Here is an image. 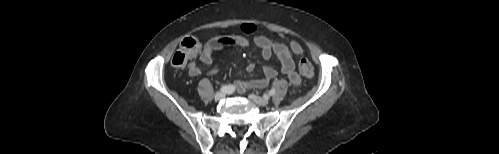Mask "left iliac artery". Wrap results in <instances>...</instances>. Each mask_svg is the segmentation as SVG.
Listing matches in <instances>:
<instances>
[{
  "mask_svg": "<svg viewBox=\"0 0 499 154\" xmlns=\"http://www.w3.org/2000/svg\"><path fill=\"white\" fill-rule=\"evenodd\" d=\"M275 93H276L275 89H271V90L268 92V95H269V96H273Z\"/></svg>",
  "mask_w": 499,
  "mask_h": 154,
  "instance_id": "left-iliac-artery-1",
  "label": "left iliac artery"
}]
</instances>
